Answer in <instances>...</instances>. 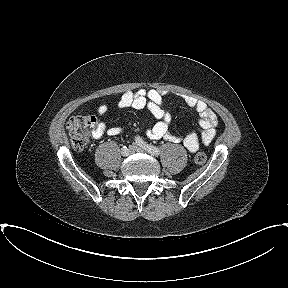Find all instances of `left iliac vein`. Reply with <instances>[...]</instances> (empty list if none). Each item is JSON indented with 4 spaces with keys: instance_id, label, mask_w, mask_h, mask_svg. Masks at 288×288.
<instances>
[{
    "instance_id": "left-iliac-vein-1",
    "label": "left iliac vein",
    "mask_w": 288,
    "mask_h": 288,
    "mask_svg": "<svg viewBox=\"0 0 288 288\" xmlns=\"http://www.w3.org/2000/svg\"><path fill=\"white\" fill-rule=\"evenodd\" d=\"M133 148H134V151H137V152H145L146 151L142 146L137 145V144L133 145Z\"/></svg>"
}]
</instances>
